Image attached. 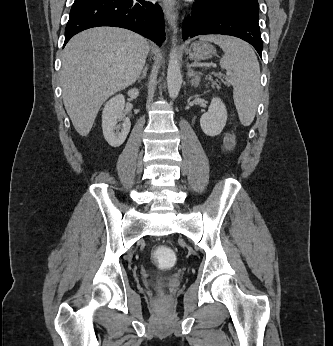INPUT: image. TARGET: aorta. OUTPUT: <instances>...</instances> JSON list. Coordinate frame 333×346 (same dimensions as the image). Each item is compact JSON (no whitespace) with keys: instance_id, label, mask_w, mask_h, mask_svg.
<instances>
[{"instance_id":"aorta-1","label":"aorta","mask_w":333,"mask_h":346,"mask_svg":"<svg viewBox=\"0 0 333 346\" xmlns=\"http://www.w3.org/2000/svg\"><path fill=\"white\" fill-rule=\"evenodd\" d=\"M177 33L176 26L174 25V34ZM175 36L173 37V45L175 46ZM182 83V76L180 71V66L178 62V57L175 52V50H172L170 53V60L168 64V71H167V87H168V93L169 96L172 99H175L180 91Z\"/></svg>"}]
</instances>
